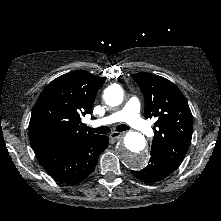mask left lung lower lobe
Returning <instances> with one entry per match:
<instances>
[{
    "label": "left lung lower lobe",
    "instance_id": "1",
    "mask_svg": "<svg viewBox=\"0 0 221 221\" xmlns=\"http://www.w3.org/2000/svg\"><path fill=\"white\" fill-rule=\"evenodd\" d=\"M173 170L160 159V157L151 154L149 164L141 171H132V173L141 181L146 183L157 182L167 177Z\"/></svg>",
    "mask_w": 221,
    "mask_h": 221
}]
</instances>
